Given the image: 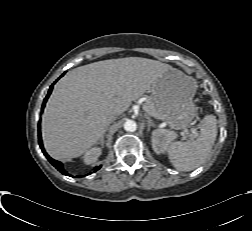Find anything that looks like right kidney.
I'll return each mask as SVG.
<instances>
[{
    "label": "right kidney",
    "mask_w": 252,
    "mask_h": 231,
    "mask_svg": "<svg viewBox=\"0 0 252 231\" xmlns=\"http://www.w3.org/2000/svg\"><path fill=\"white\" fill-rule=\"evenodd\" d=\"M101 155V148H92L88 150L84 156L83 161L85 164H93L98 160V157Z\"/></svg>",
    "instance_id": "ca27d5eb"
}]
</instances>
